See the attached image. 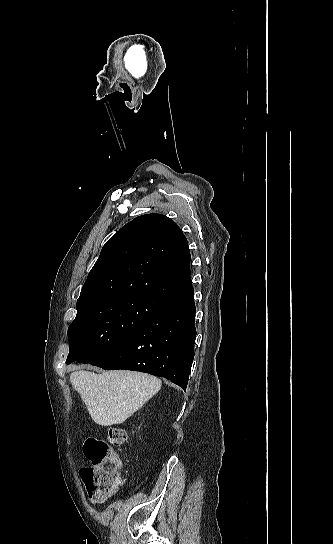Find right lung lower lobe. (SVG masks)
Segmentation results:
<instances>
[{
	"label": "right lung lower lobe",
	"instance_id": "obj_1",
	"mask_svg": "<svg viewBox=\"0 0 333 544\" xmlns=\"http://www.w3.org/2000/svg\"><path fill=\"white\" fill-rule=\"evenodd\" d=\"M193 295L194 290L168 301L136 332L80 363L146 372L186 389L196 338Z\"/></svg>",
	"mask_w": 333,
	"mask_h": 544
}]
</instances>
